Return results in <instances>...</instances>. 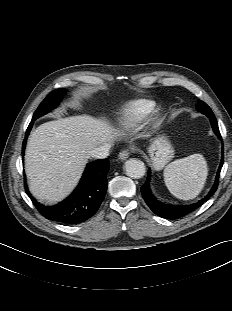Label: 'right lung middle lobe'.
<instances>
[{
    "mask_svg": "<svg viewBox=\"0 0 232 311\" xmlns=\"http://www.w3.org/2000/svg\"><path fill=\"white\" fill-rule=\"evenodd\" d=\"M65 90L66 89L64 88H60V89H57L51 92L39 105L32 120H36L40 116L54 109L60 103L61 99L63 98L65 94Z\"/></svg>",
    "mask_w": 232,
    "mask_h": 311,
    "instance_id": "dd1d6c3e",
    "label": "right lung middle lobe"
}]
</instances>
